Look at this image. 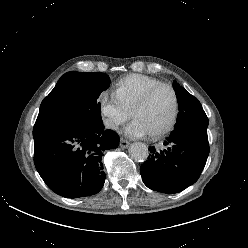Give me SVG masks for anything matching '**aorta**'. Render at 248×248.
Instances as JSON below:
<instances>
[{
    "label": "aorta",
    "mask_w": 248,
    "mask_h": 248,
    "mask_svg": "<svg viewBox=\"0 0 248 248\" xmlns=\"http://www.w3.org/2000/svg\"><path fill=\"white\" fill-rule=\"evenodd\" d=\"M131 157L138 162H143L148 158L149 151L148 147L141 142L133 143L129 148Z\"/></svg>",
    "instance_id": "1"
}]
</instances>
